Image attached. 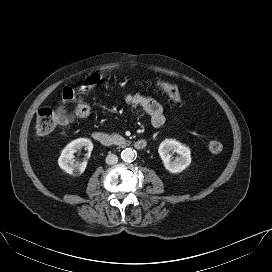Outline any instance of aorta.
<instances>
[{"label":"aorta","instance_id":"aorta-1","mask_svg":"<svg viewBox=\"0 0 272 272\" xmlns=\"http://www.w3.org/2000/svg\"><path fill=\"white\" fill-rule=\"evenodd\" d=\"M135 155H136L135 150L132 148H125L121 152V158L125 162H131L135 158Z\"/></svg>","mask_w":272,"mask_h":272}]
</instances>
